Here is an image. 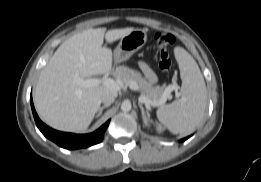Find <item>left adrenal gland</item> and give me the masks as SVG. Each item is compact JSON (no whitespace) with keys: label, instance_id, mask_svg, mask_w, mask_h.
Wrapping results in <instances>:
<instances>
[{"label":"left adrenal gland","instance_id":"left-adrenal-gland-1","mask_svg":"<svg viewBox=\"0 0 261 182\" xmlns=\"http://www.w3.org/2000/svg\"><path fill=\"white\" fill-rule=\"evenodd\" d=\"M139 107H140V110H141L143 122L146 124L147 121L150 119V114H149L148 111L144 110L143 106L140 103H139Z\"/></svg>","mask_w":261,"mask_h":182}]
</instances>
